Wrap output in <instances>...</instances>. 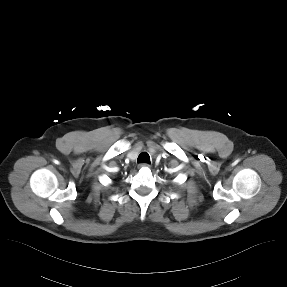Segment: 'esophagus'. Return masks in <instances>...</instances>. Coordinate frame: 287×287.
Wrapping results in <instances>:
<instances>
[{
    "label": "esophagus",
    "mask_w": 287,
    "mask_h": 287,
    "mask_svg": "<svg viewBox=\"0 0 287 287\" xmlns=\"http://www.w3.org/2000/svg\"><path fill=\"white\" fill-rule=\"evenodd\" d=\"M151 165L150 164H148V163H140L139 165H138V168H144V167H150Z\"/></svg>",
    "instance_id": "obj_1"
}]
</instances>
